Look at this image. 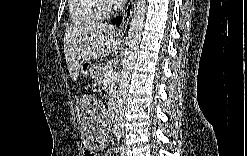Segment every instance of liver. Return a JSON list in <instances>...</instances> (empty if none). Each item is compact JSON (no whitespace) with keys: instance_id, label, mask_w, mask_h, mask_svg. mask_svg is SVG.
<instances>
[{"instance_id":"liver-1","label":"liver","mask_w":247,"mask_h":156,"mask_svg":"<svg viewBox=\"0 0 247 156\" xmlns=\"http://www.w3.org/2000/svg\"><path fill=\"white\" fill-rule=\"evenodd\" d=\"M118 35H121L118 29L106 23L68 26L64 35V53L71 79L77 80L83 62L116 52L119 42L115 38Z\"/></svg>"}]
</instances>
